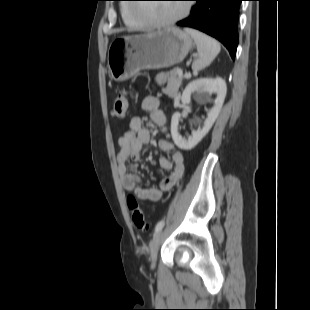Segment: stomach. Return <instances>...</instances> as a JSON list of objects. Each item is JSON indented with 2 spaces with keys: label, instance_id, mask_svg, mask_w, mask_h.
<instances>
[{
  "label": "stomach",
  "instance_id": "1",
  "mask_svg": "<svg viewBox=\"0 0 310 310\" xmlns=\"http://www.w3.org/2000/svg\"><path fill=\"white\" fill-rule=\"evenodd\" d=\"M192 46L191 36L176 27L145 35L119 37L108 49L110 77L120 82L141 70L171 67L183 61Z\"/></svg>",
  "mask_w": 310,
  "mask_h": 310
}]
</instances>
